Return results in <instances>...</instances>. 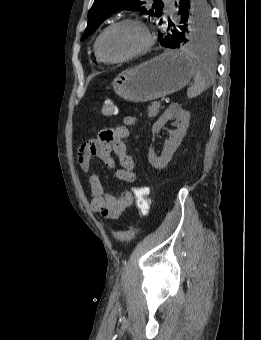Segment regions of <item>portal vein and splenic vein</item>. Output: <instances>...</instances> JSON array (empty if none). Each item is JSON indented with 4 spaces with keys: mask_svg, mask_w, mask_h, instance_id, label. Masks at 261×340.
Segmentation results:
<instances>
[{
    "mask_svg": "<svg viewBox=\"0 0 261 340\" xmlns=\"http://www.w3.org/2000/svg\"><path fill=\"white\" fill-rule=\"evenodd\" d=\"M166 100L165 97L161 98L160 102L163 103Z\"/></svg>",
    "mask_w": 261,
    "mask_h": 340,
    "instance_id": "portal-vein-and-splenic-vein-1",
    "label": "portal vein and splenic vein"
}]
</instances>
